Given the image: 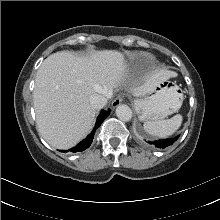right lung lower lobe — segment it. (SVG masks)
<instances>
[{
	"label": "right lung lower lobe",
	"instance_id": "right-lung-lower-lobe-1",
	"mask_svg": "<svg viewBox=\"0 0 220 220\" xmlns=\"http://www.w3.org/2000/svg\"><path fill=\"white\" fill-rule=\"evenodd\" d=\"M110 112H111L110 109L106 111L104 110L101 111L100 115L97 118L95 129H97L101 125V123L109 116ZM93 138H94V130L91 132L90 135L87 136V138L81 141L77 146H75L74 148H71L70 151L81 152L87 149L91 145Z\"/></svg>",
	"mask_w": 220,
	"mask_h": 220
}]
</instances>
